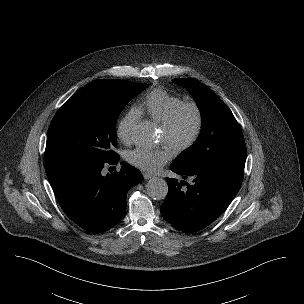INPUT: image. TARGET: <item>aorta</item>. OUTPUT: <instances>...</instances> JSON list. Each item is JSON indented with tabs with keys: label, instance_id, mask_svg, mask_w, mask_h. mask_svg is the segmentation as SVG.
<instances>
[{
	"label": "aorta",
	"instance_id": "aorta-1",
	"mask_svg": "<svg viewBox=\"0 0 304 304\" xmlns=\"http://www.w3.org/2000/svg\"><path fill=\"white\" fill-rule=\"evenodd\" d=\"M136 142L139 144H148L151 141L149 128L141 125L135 135ZM147 194L154 200L165 199L168 193L166 181L159 177L151 178L146 184Z\"/></svg>",
	"mask_w": 304,
	"mask_h": 304
}]
</instances>
